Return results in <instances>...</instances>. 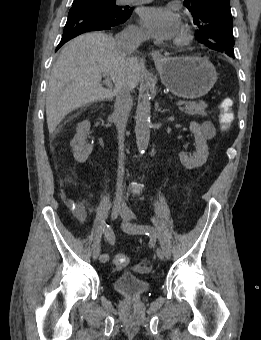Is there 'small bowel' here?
<instances>
[{
	"instance_id": "small-bowel-1",
	"label": "small bowel",
	"mask_w": 261,
	"mask_h": 340,
	"mask_svg": "<svg viewBox=\"0 0 261 340\" xmlns=\"http://www.w3.org/2000/svg\"><path fill=\"white\" fill-rule=\"evenodd\" d=\"M79 218H80L81 221H83L85 217H84L83 214H81V215L79 216Z\"/></svg>"
}]
</instances>
